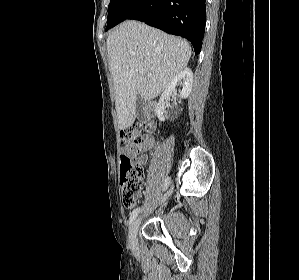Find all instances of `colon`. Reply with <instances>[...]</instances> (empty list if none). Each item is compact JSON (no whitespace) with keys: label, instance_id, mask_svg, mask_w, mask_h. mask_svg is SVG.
Returning <instances> with one entry per match:
<instances>
[{"label":"colon","instance_id":"obj_1","mask_svg":"<svg viewBox=\"0 0 299 280\" xmlns=\"http://www.w3.org/2000/svg\"><path fill=\"white\" fill-rule=\"evenodd\" d=\"M121 145L124 149L139 145L142 133L137 126H130L121 131ZM144 179L142 163L132 160L127 154L120 159V185L123 204L132 208L138 201Z\"/></svg>","mask_w":299,"mask_h":280}]
</instances>
